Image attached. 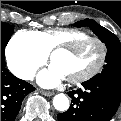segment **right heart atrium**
Segmentation results:
<instances>
[{
	"label": "right heart atrium",
	"instance_id": "right-heart-atrium-1",
	"mask_svg": "<svg viewBox=\"0 0 121 121\" xmlns=\"http://www.w3.org/2000/svg\"><path fill=\"white\" fill-rule=\"evenodd\" d=\"M6 60L9 68L21 78H29L46 60L38 44L30 37L15 34L8 43Z\"/></svg>",
	"mask_w": 121,
	"mask_h": 121
}]
</instances>
